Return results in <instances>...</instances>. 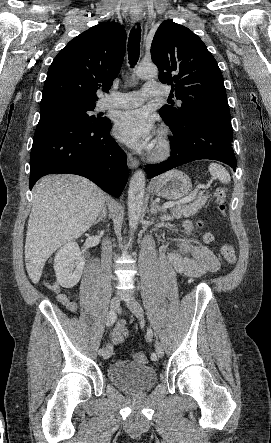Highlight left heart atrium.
I'll use <instances>...</instances> for the list:
<instances>
[{
	"label": "left heart atrium",
	"instance_id": "39dd6f15",
	"mask_svg": "<svg viewBox=\"0 0 271 443\" xmlns=\"http://www.w3.org/2000/svg\"><path fill=\"white\" fill-rule=\"evenodd\" d=\"M154 122L142 109H133L118 114L114 135L135 150H147L153 145Z\"/></svg>",
	"mask_w": 271,
	"mask_h": 443
}]
</instances>
